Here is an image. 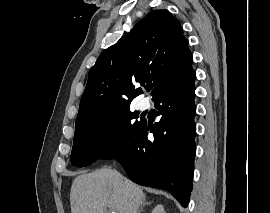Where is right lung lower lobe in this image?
Instances as JSON below:
<instances>
[{
	"label": "right lung lower lobe",
	"instance_id": "98d812e1",
	"mask_svg": "<svg viewBox=\"0 0 270 213\" xmlns=\"http://www.w3.org/2000/svg\"><path fill=\"white\" fill-rule=\"evenodd\" d=\"M196 78L191 68L152 100L161 115L153 126L142 120L137 129L102 159H116L140 185L166 189L186 207L192 190L196 126ZM148 132L154 139L147 138Z\"/></svg>",
	"mask_w": 270,
	"mask_h": 213
}]
</instances>
